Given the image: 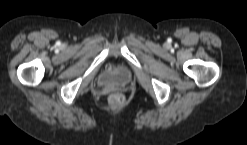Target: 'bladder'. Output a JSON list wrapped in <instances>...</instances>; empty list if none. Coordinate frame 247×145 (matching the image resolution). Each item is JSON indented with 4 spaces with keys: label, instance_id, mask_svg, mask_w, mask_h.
Returning a JSON list of instances; mask_svg holds the SVG:
<instances>
[{
    "label": "bladder",
    "instance_id": "obj_1",
    "mask_svg": "<svg viewBox=\"0 0 247 145\" xmlns=\"http://www.w3.org/2000/svg\"><path fill=\"white\" fill-rule=\"evenodd\" d=\"M128 81H129V78L126 75H118L117 81H112V82H109L108 84H111V85H125V84L128 83Z\"/></svg>",
    "mask_w": 247,
    "mask_h": 145
}]
</instances>
